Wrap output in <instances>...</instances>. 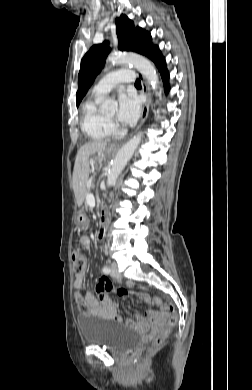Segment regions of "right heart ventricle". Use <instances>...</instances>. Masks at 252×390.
<instances>
[{
    "instance_id": "right-heart-ventricle-1",
    "label": "right heart ventricle",
    "mask_w": 252,
    "mask_h": 390,
    "mask_svg": "<svg viewBox=\"0 0 252 390\" xmlns=\"http://www.w3.org/2000/svg\"><path fill=\"white\" fill-rule=\"evenodd\" d=\"M100 97L91 96L82 106L81 129L88 138L95 141L111 136L108 119L98 110Z\"/></svg>"
}]
</instances>
